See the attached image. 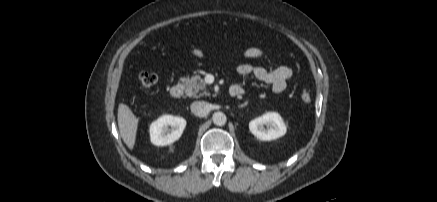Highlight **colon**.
<instances>
[{"instance_id": "colon-1", "label": "colon", "mask_w": 437, "mask_h": 202, "mask_svg": "<svg viewBox=\"0 0 437 202\" xmlns=\"http://www.w3.org/2000/svg\"><path fill=\"white\" fill-rule=\"evenodd\" d=\"M139 86L141 90L148 91L157 83V76L150 72H141L138 76ZM300 99L303 104L307 105L311 102V94L304 89L300 94Z\"/></svg>"}]
</instances>
